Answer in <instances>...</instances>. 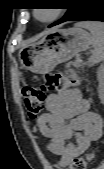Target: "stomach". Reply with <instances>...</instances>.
Returning a JSON list of instances; mask_svg holds the SVG:
<instances>
[{
	"label": "stomach",
	"instance_id": "obj_1",
	"mask_svg": "<svg viewBox=\"0 0 104 169\" xmlns=\"http://www.w3.org/2000/svg\"><path fill=\"white\" fill-rule=\"evenodd\" d=\"M91 40V34L80 27L54 29L22 48L19 57L26 70L39 74L50 72L59 63L87 50Z\"/></svg>",
	"mask_w": 104,
	"mask_h": 169
}]
</instances>
